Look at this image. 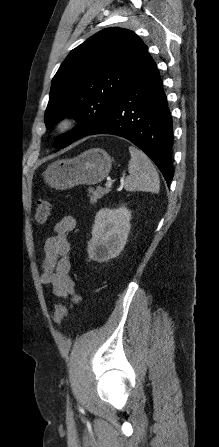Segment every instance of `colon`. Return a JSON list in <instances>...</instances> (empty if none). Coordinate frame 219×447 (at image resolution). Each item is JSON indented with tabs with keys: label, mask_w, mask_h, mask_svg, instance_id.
<instances>
[{
	"label": "colon",
	"mask_w": 219,
	"mask_h": 447,
	"mask_svg": "<svg viewBox=\"0 0 219 447\" xmlns=\"http://www.w3.org/2000/svg\"><path fill=\"white\" fill-rule=\"evenodd\" d=\"M51 213V202L48 198H42L36 204V220L45 223ZM68 316V308L65 304L57 303L51 311V319L57 325H61Z\"/></svg>",
	"instance_id": "1"
}]
</instances>
